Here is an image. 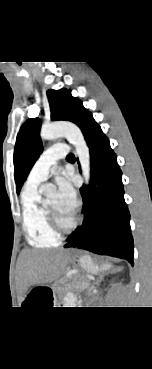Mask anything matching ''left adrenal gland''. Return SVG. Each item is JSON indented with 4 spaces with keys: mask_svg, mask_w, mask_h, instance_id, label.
Masks as SVG:
<instances>
[{
    "mask_svg": "<svg viewBox=\"0 0 152 369\" xmlns=\"http://www.w3.org/2000/svg\"><path fill=\"white\" fill-rule=\"evenodd\" d=\"M104 276H105V273L100 274L98 276L97 280L94 282L93 286L98 285L101 282V280L103 279Z\"/></svg>",
    "mask_w": 152,
    "mask_h": 369,
    "instance_id": "obj_1",
    "label": "left adrenal gland"
}]
</instances>
